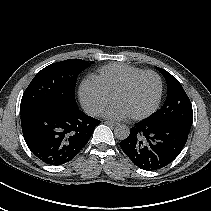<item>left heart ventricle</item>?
Listing matches in <instances>:
<instances>
[{"label":"left heart ventricle","mask_w":211,"mask_h":211,"mask_svg":"<svg viewBox=\"0 0 211 211\" xmlns=\"http://www.w3.org/2000/svg\"><path fill=\"white\" fill-rule=\"evenodd\" d=\"M159 85L153 75L138 79L128 90L117 95L114 102L119 103L130 116L149 110L158 96Z\"/></svg>","instance_id":"1"}]
</instances>
